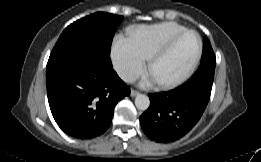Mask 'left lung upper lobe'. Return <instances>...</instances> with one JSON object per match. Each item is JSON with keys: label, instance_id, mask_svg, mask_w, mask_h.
<instances>
[{"label": "left lung upper lobe", "instance_id": "left-lung-upper-lobe-1", "mask_svg": "<svg viewBox=\"0 0 261 162\" xmlns=\"http://www.w3.org/2000/svg\"><path fill=\"white\" fill-rule=\"evenodd\" d=\"M216 65V57L211 47L210 41L204 37L203 39V53L201 58V63L198 69H202L204 67H213Z\"/></svg>", "mask_w": 261, "mask_h": 162}]
</instances>
